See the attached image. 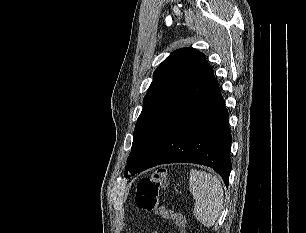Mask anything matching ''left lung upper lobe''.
Wrapping results in <instances>:
<instances>
[{
	"label": "left lung upper lobe",
	"instance_id": "1",
	"mask_svg": "<svg viewBox=\"0 0 306 233\" xmlns=\"http://www.w3.org/2000/svg\"><path fill=\"white\" fill-rule=\"evenodd\" d=\"M153 77L133 133L126 177L137 172L166 133L217 82L204 54L193 48L172 52Z\"/></svg>",
	"mask_w": 306,
	"mask_h": 233
}]
</instances>
